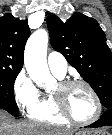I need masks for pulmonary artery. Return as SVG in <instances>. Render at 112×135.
I'll use <instances>...</instances> for the list:
<instances>
[{
    "label": "pulmonary artery",
    "mask_w": 112,
    "mask_h": 135,
    "mask_svg": "<svg viewBox=\"0 0 112 135\" xmlns=\"http://www.w3.org/2000/svg\"><path fill=\"white\" fill-rule=\"evenodd\" d=\"M50 71L57 77L63 78L67 72V62L58 52H50L47 58Z\"/></svg>",
    "instance_id": "pulmonary-artery-1"
}]
</instances>
